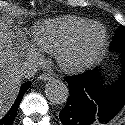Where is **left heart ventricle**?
<instances>
[{"instance_id":"b2bd125f","label":"left heart ventricle","mask_w":125,"mask_h":125,"mask_svg":"<svg viewBox=\"0 0 125 125\" xmlns=\"http://www.w3.org/2000/svg\"><path fill=\"white\" fill-rule=\"evenodd\" d=\"M97 38H98L97 31H93L90 34H88L84 39L83 45L81 46V52H88L94 45Z\"/></svg>"}]
</instances>
